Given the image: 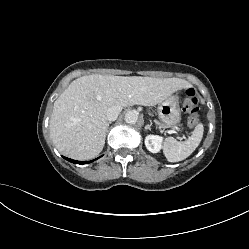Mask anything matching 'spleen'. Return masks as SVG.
<instances>
[{"instance_id":"obj_1","label":"spleen","mask_w":249,"mask_h":249,"mask_svg":"<svg viewBox=\"0 0 249 249\" xmlns=\"http://www.w3.org/2000/svg\"><path fill=\"white\" fill-rule=\"evenodd\" d=\"M203 125L198 124L192 135L184 142L167 138L164 143V154L169 162H179L189 157L199 146L203 137Z\"/></svg>"}]
</instances>
